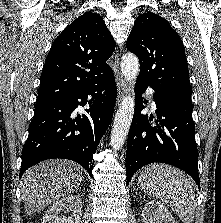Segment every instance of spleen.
<instances>
[{
  "label": "spleen",
  "mask_w": 221,
  "mask_h": 223,
  "mask_svg": "<svg viewBox=\"0 0 221 223\" xmlns=\"http://www.w3.org/2000/svg\"><path fill=\"white\" fill-rule=\"evenodd\" d=\"M139 188L165 202L183 223H192L195 214V189L184 172L165 164L144 168L138 178Z\"/></svg>",
  "instance_id": "1"
}]
</instances>
